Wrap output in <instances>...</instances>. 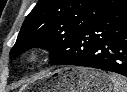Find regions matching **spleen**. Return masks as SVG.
I'll return each instance as SVG.
<instances>
[{"instance_id": "obj_1", "label": "spleen", "mask_w": 127, "mask_h": 92, "mask_svg": "<svg viewBox=\"0 0 127 92\" xmlns=\"http://www.w3.org/2000/svg\"><path fill=\"white\" fill-rule=\"evenodd\" d=\"M112 84L113 92H127V79L117 74L108 75Z\"/></svg>"}]
</instances>
